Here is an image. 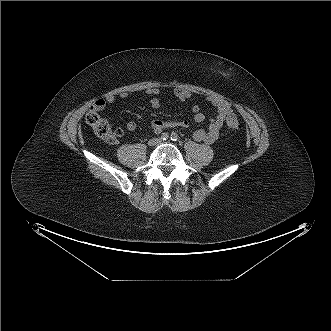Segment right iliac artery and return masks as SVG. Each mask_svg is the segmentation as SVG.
<instances>
[{
  "label": "right iliac artery",
  "mask_w": 331,
  "mask_h": 331,
  "mask_svg": "<svg viewBox=\"0 0 331 331\" xmlns=\"http://www.w3.org/2000/svg\"><path fill=\"white\" fill-rule=\"evenodd\" d=\"M169 138V134L168 133H166V132H164V133H162V135H161V139L162 140H167Z\"/></svg>",
  "instance_id": "right-iliac-artery-1"
}]
</instances>
